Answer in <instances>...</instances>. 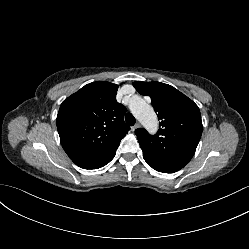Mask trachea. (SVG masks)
<instances>
[{"instance_id": "3493384b", "label": "trachea", "mask_w": 249, "mask_h": 249, "mask_svg": "<svg viewBox=\"0 0 249 249\" xmlns=\"http://www.w3.org/2000/svg\"><path fill=\"white\" fill-rule=\"evenodd\" d=\"M125 121L128 125L133 126L136 122V119L132 114L127 113L125 116Z\"/></svg>"}]
</instances>
